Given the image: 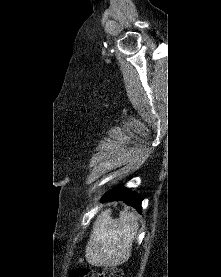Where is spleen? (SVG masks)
<instances>
[{
  "label": "spleen",
  "instance_id": "obj_1",
  "mask_svg": "<svg viewBox=\"0 0 221 277\" xmlns=\"http://www.w3.org/2000/svg\"><path fill=\"white\" fill-rule=\"evenodd\" d=\"M139 228L135 215L121 211L117 221L103 212L94 223L85 257L92 265L116 266L128 260Z\"/></svg>",
  "mask_w": 221,
  "mask_h": 277
}]
</instances>
